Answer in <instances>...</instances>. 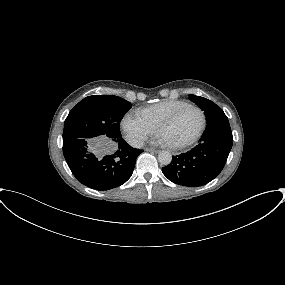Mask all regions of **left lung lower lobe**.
Returning a JSON list of instances; mask_svg holds the SVG:
<instances>
[{
    "label": "left lung lower lobe",
    "mask_w": 285,
    "mask_h": 285,
    "mask_svg": "<svg viewBox=\"0 0 285 285\" xmlns=\"http://www.w3.org/2000/svg\"><path fill=\"white\" fill-rule=\"evenodd\" d=\"M233 144L228 118L207 123L199 144L187 153L173 156L172 162L162 168L173 183L199 187L216 178L222 171Z\"/></svg>",
    "instance_id": "left-lung-lower-lobe-1"
}]
</instances>
